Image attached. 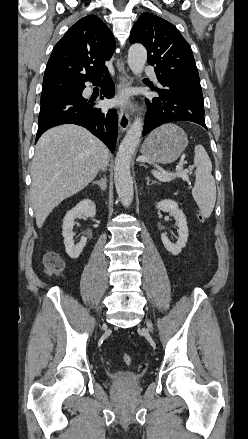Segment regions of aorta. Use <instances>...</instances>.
Masks as SVG:
<instances>
[{
  "mask_svg": "<svg viewBox=\"0 0 248 439\" xmlns=\"http://www.w3.org/2000/svg\"><path fill=\"white\" fill-rule=\"evenodd\" d=\"M147 61V51L141 44H133L129 48L127 63L131 71L139 76ZM142 119L136 118L127 130L115 158L114 180L118 197L124 207H129L133 200V179L130 164L135 149L142 135Z\"/></svg>",
  "mask_w": 248,
  "mask_h": 439,
  "instance_id": "obj_1",
  "label": "aorta"
}]
</instances>
